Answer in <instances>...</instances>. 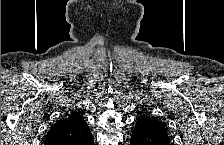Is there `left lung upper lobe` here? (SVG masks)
Wrapping results in <instances>:
<instances>
[{
  "label": "left lung upper lobe",
  "instance_id": "left-lung-upper-lobe-1",
  "mask_svg": "<svg viewBox=\"0 0 224 145\" xmlns=\"http://www.w3.org/2000/svg\"><path fill=\"white\" fill-rule=\"evenodd\" d=\"M152 121L154 122L155 126H156L158 129H160V130L164 133V135H165L166 137H168L166 128L164 127L163 123H162L161 121H159V120H155V119H152Z\"/></svg>",
  "mask_w": 224,
  "mask_h": 145
}]
</instances>
